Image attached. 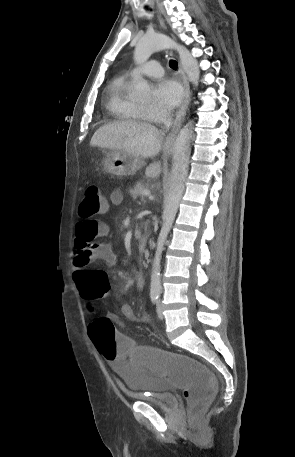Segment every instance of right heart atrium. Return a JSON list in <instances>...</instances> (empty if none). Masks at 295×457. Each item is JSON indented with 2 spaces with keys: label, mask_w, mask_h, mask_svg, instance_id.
<instances>
[{
  "label": "right heart atrium",
  "mask_w": 295,
  "mask_h": 457,
  "mask_svg": "<svg viewBox=\"0 0 295 457\" xmlns=\"http://www.w3.org/2000/svg\"><path fill=\"white\" fill-rule=\"evenodd\" d=\"M142 112L145 119L148 120H160L165 117L167 112L159 107L154 105H144L142 106Z\"/></svg>",
  "instance_id": "obj_1"
}]
</instances>
